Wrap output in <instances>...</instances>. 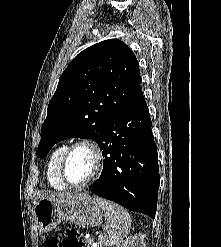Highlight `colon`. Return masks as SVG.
Returning a JSON list of instances; mask_svg holds the SVG:
<instances>
[{
	"mask_svg": "<svg viewBox=\"0 0 221 247\" xmlns=\"http://www.w3.org/2000/svg\"><path fill=\"white\" fill-rule=\"evenodd\" d=\"M43 247H84V243L77 230L69 229L61 240L57 238L47 239Z\"/></svg>",
	"mask_w": 221,
	"mask_h": 247,
	"instance_id": "5ec220e1",
	"label": "colon"
}]
</instances>
